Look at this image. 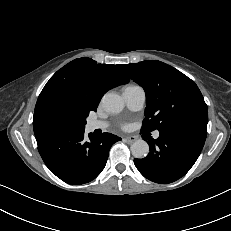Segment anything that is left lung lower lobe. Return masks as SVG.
<instances>
[{"label": "left lung lower lobe", "instance_id": "1", "mask_svg": "<svg viewBox=\"0 0 231 231\" xmlns=\"http://www.w3.org/2000/svg\"><path fill=\"white\" fill-rule=\"evenodd\" d=\"M159 132L158 139L148 141V156L134 159V164L147 179L168 184L183 177L194 165L204 146L207 127L184 124Z\"/></svg>", "mask_w": 231, "mask_h": 231}]
</instances>
